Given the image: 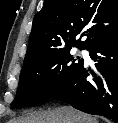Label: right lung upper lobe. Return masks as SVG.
<instances>
[{
    "mask_svg": "<svg viewBox=\"0 0 118 123\" xmlns=\"http://www.w3.org/2000/svg\"><path fill=\"white\" fill-rule=\"evenodd\" d=\"M85 40H75L82 31ZM118 35V0H45L33 19L24 64L55 50L89 49Z\"/></svg>",
    "mask_w": 118,
    "mask_h": 123,
    "instance_id": "cb5924a9",
    "label": "right lung upper lobe"
}]
</instances>
